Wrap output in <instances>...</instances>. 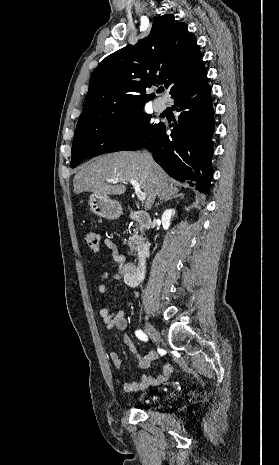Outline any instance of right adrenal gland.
<instances>
[{"mask_svg":"<svg viewBox=\"0 0 279 465\" xmlns=\"http://www.w3.org/2000/svg\"><path fill=\"white\" fill-rule=\"evenodd\" d=\"M173 198L182 199V198H184V195H183L182 193H179V194H177V195H175V196H173V197L166 198V199H164V200L158 202V203L155 205V207L158 206V205H160V204H162V203H164V202H167V201H169V200H171V199H173Z\"/></svg>","mask_w":279,"mask_h":465,"instance_id":"1","label":"right adrenal gland"}]
</instances>
